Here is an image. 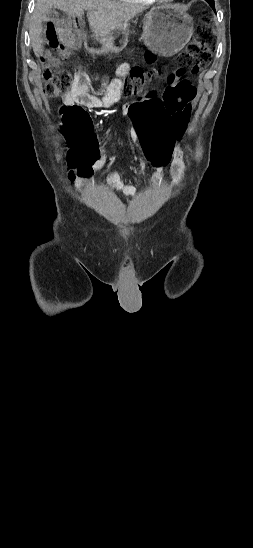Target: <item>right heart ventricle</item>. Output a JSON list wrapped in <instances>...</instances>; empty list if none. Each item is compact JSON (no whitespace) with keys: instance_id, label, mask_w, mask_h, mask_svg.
I'll list each match as a JSON object with an SVG mask.
<instances>
[{"instance_id":"e07e8e85","label":"right heart ventricle","mask_w":253,"mask_h":548,"mask_svg":"<svg viewBox=\"0 0 253 548\" xmlns=\"http://www.w3.org/2000/svg\"><path fill=\"white\" fill-rule=\"evenodd\" d=\"M120 2L134 4V5H151L155 0H118Z\"/></svg>"}]
</instances>
